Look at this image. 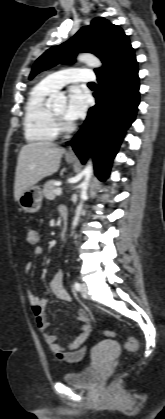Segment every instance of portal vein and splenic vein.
Here are the masks:
<instances>
[{"label": "portal vein and splenic vein", "instance_id": "portal-vein-and-splenic-vein-1", "mask_svg": "<svg viewBox=\"0 0 165 419\" xmlns=\"http://www.w3.org/2000/svg\"><path fill=\"white\" fill-rule=\"evenodd\" d=\"M61 193H62L61 188H57V189L55 190V194H56V195H60Z\"/></svg>", "mask_w": 165, "mask_h": 419}]
</instances>
